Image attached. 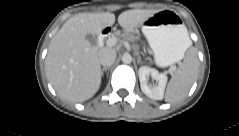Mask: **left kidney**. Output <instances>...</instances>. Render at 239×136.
I'll return each mask as SVG.
<instances>
[{"mask_svg": "<svg viewBox=\"0 0 239 136\" xmlns=\"http://www.w3.org/2000/svg\"><path fill=\"white\" fill-rule=\"evenodd\" d=\"M140 87L142 92L154 100H162L164 96L165 87L167 84V76L164 73H159L156 69L148 66H142L138 71ZM149 76L156 80L158 85H148Z\"/></svg>", "mask_w": 239, "mask_h": 136, "instance_id": "left-kidney-1", "label": "left kidney"}]
</instances>
